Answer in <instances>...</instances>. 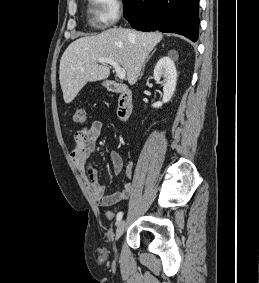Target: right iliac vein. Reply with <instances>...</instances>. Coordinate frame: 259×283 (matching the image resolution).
I'll return each mask as SVG.
<instances>
[{
	"instance_id": "obj_1",
	"label": "right iliac vein",
	"mask_w": 259,
	"mask_h": 283,
	"mask_svg": "<svg viewBox=\"0 0 259 283\" xmlns=\"http://www.w3.org/2000/svg\"><path fill=\"white\" fill-rule=\"evenodd\" d=\"M125 228H126V222H125V220H122V221L119 223V225H118V227H117V229H116L115 241H114V250H116V248H115V243H116V241L122 236V234H123L124 231H125Z\"/></svg>"
}]
</instances>
